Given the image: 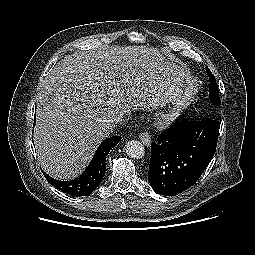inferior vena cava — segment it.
<instances>
[{
  "label": "inferior vena cava",
  "mask_w": 255,
  "mask_h": 255,
  "mask_svg": "<svg viewBox=\"0 0 255 255\" xmlns=\"http://www.w3.org/2000/svg\"><path fill=\"white\" fill-rule=\"evenodd\" d=\"M124 114H126V113H120L117 117H115L114 119H113V127L112 128H114V123H122V124H125L126 123V121H127V118H125V115Z\"/></svg>",
  "instance_id": "inferior-vena-cava-1"
}]
</instances>
